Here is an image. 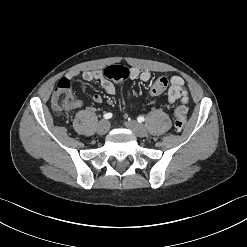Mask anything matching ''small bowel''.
I'll return each mask as SVG.
<instances>
[{
    "label": "small bowel",
    "mask_w": 247,
    "mask_h": 247,
    "mask_svg": "<svg viewBox=\"0 0 247 247\" xmlns=\"http://www.w3.org/2000/svg\"><path fill=\"white\" fill-rule=\"evenodd\" d=\"M81 76L82 80L86 82H99L105 92L109 95H113L116 92V88L112 81L105 78L104 74L100 70L84 71L82 73L78 71H72L68 73L59 82H65L70 85V81L75 77ZM130 78L135 80L139 79L142 82H149L151 79V73L147 70L140 71L138 68L130 69ZM168 102L174 104L176 101H181L184 104L188 103V92L185 87L184 80L180 76H173L170 79V87L167 92ZM94 101L100 103L102 97L100 95H94ZM83 105V101L80 99L74 100L73 108H79Z\"/></svg>",
    "instance_id": "1"
}]
</instances>
